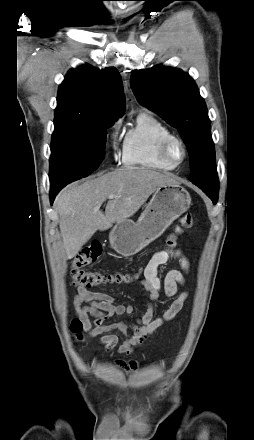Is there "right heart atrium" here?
Here are the masks:
<instances>
[{
	"instance_id": "d8ad5b80",
	"label": "right heart atrium",
	"mask_w": 254,
	"mask_h": 440,
	"mask_svg": "<svg viewBox=\"0 0 254 440\" xmlns=\"http://www.w3.org/2000/svg\"><path fill=\"white\" fill-rule=\"evenodd\" d=\"M119 129L120 122L115 121L109 130V144L115 158L117 157L119 150Z\"/></svg>"
}]
</instances>
